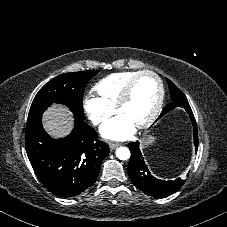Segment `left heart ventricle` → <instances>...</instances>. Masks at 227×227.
Wrapping results in <instances>:
<instances>
[{
    "instance_id": "b2bd125f",
    "label": "left heart ventricle",
    "mask_w": 227,
    "mask_h": 227,
    "mask_svg": "<svg viewBox=\"0 0 227 227\" xmlns=\"http://www.w3.org/2000/svg\"><path fill=\"white\" fill-rule=\"evenodd\" d=\"M159 87L156 79L150 75L141 76L131 98L121 107L120 114L128 118L134 126L148 118L157 101Z\"/></svg>"
}]
</instances>
